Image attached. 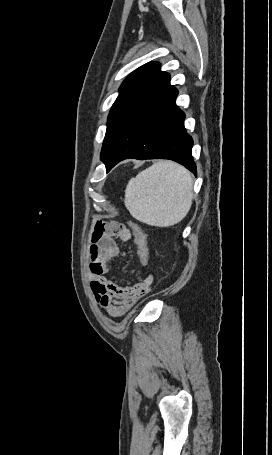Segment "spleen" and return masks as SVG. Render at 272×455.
I'll return each mask as SVG.
<instances>
[{
  "instance_id": "obj_1",
  "label": "spleen",
  "mask_w": 272,
  "mask_h": 455,
  "mask_svg": "<svg viewBox=\"0 0 272 455\" xmlns=\"http://www.w3.org/2000/svg\"><path fill=\"white\" fill-rule=\"evenodd\" d=\"M192 199L190 172L177 163L158 161L129 180L124 203L140 222L168 227L185 218Z\"/></svg>"
}]
</instances>
